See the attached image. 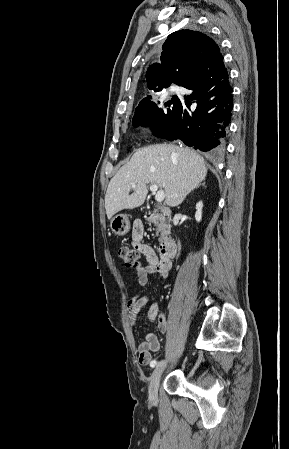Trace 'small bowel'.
Segmentation results:
<instances>
[{"mask_svg": "<svg viewBox=\"0 0 289 449\" xmlns=\"http://www.w3.org/2000/svg\"><path fill=\"white\" fill-rule=\"evenodd\" d=\"M144 227L141 221H135L132 228L131 242L147 261L146 265L136 268L137 283L140 287L147 285L149 277L156 275L162 279L168 277L171 270V260L158 255L156 251L149 245L143 242ZM148 302L146 296H135L128 300L127 307L129 313V320L132 325H135L139 320L141 308ZM148 317L151 320H156L158 328L162 333L167 332V322L165 316L162 314L160 305L153 303L149 307ZM160 349V343L155 333L148 331L144 335V340L138 345L139 362L142 365L151 363V353L157 352Z\"/></svg>", "mask_w": 289, "mask_h": 449, "instance_id": "obj_1", "label": "small bowel"}]
</instances>
